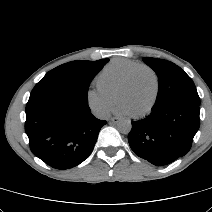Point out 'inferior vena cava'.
Masks as SVG:
<instances>
[{"label":"inferior vena cava","instance_id":"inferior-vena-cava-1","mask_svg":"<svg viewBox=\"0 0 212 212\" xmlns=\"http://www.w3.org/2000/svg\"><path fill=\"white\" fill-rule=\"evenodd\" d=\"M96 116L100 119H108L109 113L106 111H97L95 112Z\"/></svg>","mask_w":212,"mask_h":212}]
</instances>
